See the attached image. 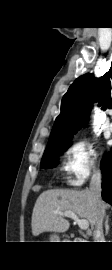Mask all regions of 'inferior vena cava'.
I'll return each mask as SVG.
<instances>
[{"label":"inferior vena cava","mask_w":112,"mask_h":270,"mask_svg":"<svg viewBox=\"0 0 112 270\" xmlns=\"http://www.w3.org/2000/svg\"><path fill=\"white\" fill-rule=\"evenodd\" d=\"M101 183L102 174L100 170H96L92 175L90 182V191L92 193L93 199L97 204V220L95 224V230L93 233L94 242H105L103 235V219L105 216V210L101 204Z\"/></svg>","instance_id":"obj_1"}]
</instances>
